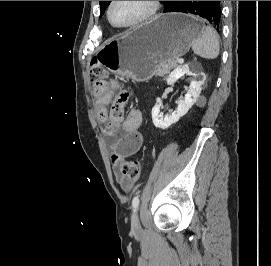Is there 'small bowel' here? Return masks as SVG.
<instances>
[{
    "label": "small bowel",
    "instance_id": "obj_1",
    "mask_svg": "<svg viewBox=\"0 0 271 266\" xmlns=\"http://www.w3.org/2000/svg\"><path fill=\"white\" fill-rule=\"evenodd\" d=\"M95 111L98 120L104 124V132L110 138H116L118 132H123V137L116 141L117 154L128 156L135 153L142 144L139 132L142 123V113L139 109H131L125 113L127 99H121L111 89L94 87ZM110 106V107H109ZM117 182L125 191L132 188L133 182L122 177L118 167L113 166Z\"/></svg>",
    "mask_w": 271,
    "mask_h": 266
}]
</instances>
